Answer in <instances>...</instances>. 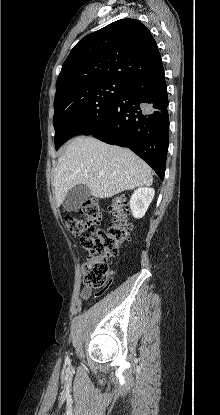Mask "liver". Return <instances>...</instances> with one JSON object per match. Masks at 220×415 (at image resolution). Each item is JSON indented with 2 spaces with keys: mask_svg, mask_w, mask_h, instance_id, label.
Here are the masks:
<instances>
[{
  "mask_svg": "<svg viewBox=\"0 0 220 415\" xmlns=\"http://www.w3.org/2000/svg\"><path fill=\"white\" fill-rule=\"evenodd\" d=\"M53 178L57 206L77 185L87 186L92 196L104 199L153 182L151 168L132 151L84 136L67 146Z\"/></svg>",
  "mask_w": 220,
  "mask_h": 415,
  "instance_id": "obj_1",
  "label": "liver"
}]
</instances>
